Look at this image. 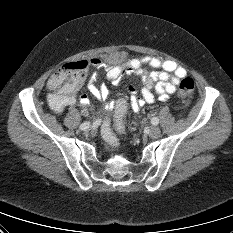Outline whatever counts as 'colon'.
<instances>
[{
	"label": "colon",
	"instance_id": "obj_1",
	"mask_svg": "<svg viewBox=\"0 0 233 233\" xmlns=\"http://www.w3.org/2000/svg\"><path fill=\"white\" fill-rule=\"evenodd\" d=\"M89 67L85 60L64 64L53 74V83L67 91L77 89L84 81ZM195 82L192 78H183L178 85V95L187 97L193 93ZM113 117H108L102 124V134L106 143L113 149L119 147L117 135L125 132L124 118L127 111V102L124 98H118L113 103Z\"/></svg>",
	"mask_w": 233,
	"mask_h": 233
}]
</instances>
